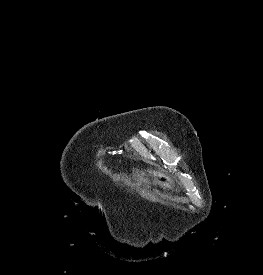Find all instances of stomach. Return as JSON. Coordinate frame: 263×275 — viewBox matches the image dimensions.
Returning <instances> with one entry per match:
<instances>
[{"mask_svg":"<svg viewBox=\"0 0 263 275\" xmlns=\"http://www.w3.org/2000/svg\"><path fill=\"white\" fill-rule=\"evenodd\" d=\"M158 184L164 189H172L174 186V181L167 175L158 174L157 175Z\"/></svg>","mask_w":263,"mask_h":275,"instance_id":"0dacf381","label":"stomach"}]
</instances>
